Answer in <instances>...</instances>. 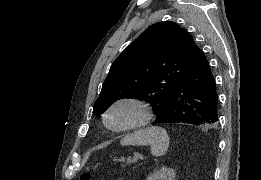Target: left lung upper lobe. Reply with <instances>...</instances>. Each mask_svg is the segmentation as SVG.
<instances>
[{
    "label": "left lung upper lobe",
    "mask_w": 261,
    "mask_h": 180,
    "mask_svg": "<svg viewBox=\"0 0 261 180\" xmlns=\"http://www.w3.org/2000/svg\"><path fill=\"white\" fill-rule=\"evenodd\" d=\"M198 49L176 23L151 25L111 65L93 113L103 114L116 100L132 98L146 100L159 117Z\"/></svg>",
    "instance_id": "1"
}]
</instances>
